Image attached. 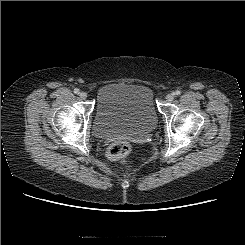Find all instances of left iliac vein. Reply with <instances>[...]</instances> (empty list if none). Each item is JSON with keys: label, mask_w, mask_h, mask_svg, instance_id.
I'll return each instance as SVG.
<instances>
[{"label": "left iliac vein", "mask_w": 245, "mask_h": 245, "mask_svg": "<svg viewBox=\"0 0 245 245\" xmlns=\"http://www.w3.org/2000/svg\"><path fill=\"white\" fill-rule=\"evenodd\" d=\"M173 99H174V95H173L172 93H170V94H168V95L166 96V100H167L168 102L173 101Z\"/></svg>", "instance_id": "left-iliac-vein-1"}]
</instances>
